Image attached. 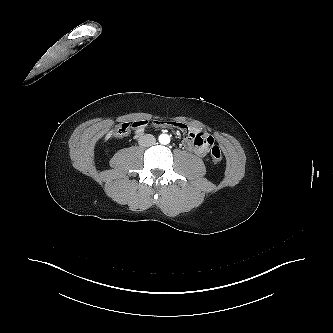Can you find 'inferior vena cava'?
Instances as JSON below:
<instances>
[{
    "mask_svg": "<svg viewBox=\"0 0 333 333\" xmlns=\"http://www.w3.org/2000/svg\"><path fill=\"white\" fill-rule=\"evenodd\" d=\"M156 142V139L153 135L151 134H145L139 138V145L142 147H149L154 145Z\"/></svg>",
    "mask_w": 333,
    "mask_h": 333,
    "instance_id": "inferior-vena-cava-1",
    "label": "inferior vena cava"
}]
</instances>
